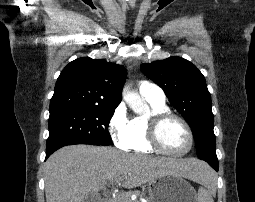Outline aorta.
Returning a JSON list of instances; mask_svg holds the SVG:
<instances>
[{
	"label": "aorta",
	"instance_id": "1",
	"mask_svg": "<svg viewBox=\"0 0 255 202\" xmlns=\"http://www.w3.org/2000/svg\"><path fill=\"white\" fill-rule=\"evenodd\" d=\"M123 98L128 106L137 114H143L148 108L147 104L141 99L136 91L125 90Z\"/></svg>",
	"mask_w": 255,
	"mask_h": 202
}]
</instances>
